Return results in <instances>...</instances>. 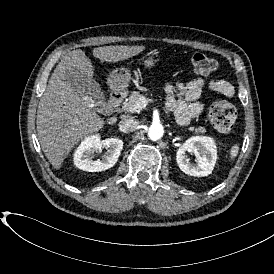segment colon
<instances>
[{
	"instance_id": "1",
	"label": "colon",
	"mask_w": 274,
	"mask_h": 274,
	"mask_svg": "<svg viewBox=\"0 0 274 274\" xmlns=\"http://www.w3.org/2000/svg\"><path fill=\"white\" fill-rule=\"evenodd\" d=\"M194 70L201 75H213L219 71L218 62L204 53H195L191 57ZM209 120L213 127L220 132H229L237 120L236 108L228 100L216 101L209 110Z\"/></svg>"
}]
</instances>
